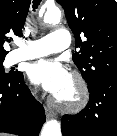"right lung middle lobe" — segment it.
Segmentation results:
<instances>
[{
	"label": "right lung middle lobe",
	"mask_w": 117,
	"mask_h": 136,
	"mask_svg": "<svg viewBox=\"0 0 117 136\" xmlns=\"http://www.w3.org/2000/svg\"><path fill=\"white\" fill-rule=\"evenodd\" d=\"M3 61H4V58H0V78L12 77L18 73L17 71L16 72L10 71L9 73H5L3 65H2Z\"/></svg>",
	"instance_id": "dd1d6c3e"
}]
</instances>
